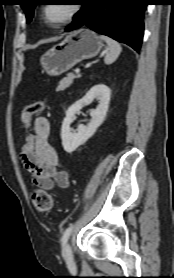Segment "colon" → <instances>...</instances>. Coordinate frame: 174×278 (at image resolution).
Returning a JSON list of instances; mask_svg holds the SVG:
<instances>
[{"instance_id":"1","label":"colon","mask_w":174,"mask_h":278,"mask_svg":"<svg viewBox=\"0 0 174 278\" xmlns=\"http://www.w3.org/2000/svg\"><path fill=\"white\" fill-rule=\"evenodd\" d=\"M44 102H36L27 106L22 113V120L27 129L26 137L21 145L20 155L31 154L36 147V138L34 132L30 131L31 119L33 115L44 110ZM32 201L35 208L42 213L48 212L53 206L52 195L43 189L35 190L32 194Z\"/></svg>"}]
</instances>
